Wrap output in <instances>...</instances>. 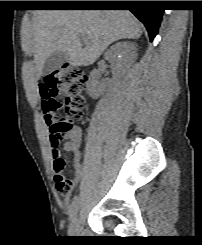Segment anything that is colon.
Returning a JSON list of instances; mask_svg holds the SVG:
<instances>
[{
    "label": "colon",
    "mask_w": 202,
    "mask_h": 245,
    "mask_svg": "<svg viewBox=\"0 0 202 245\" xmlns=\"http://www.w3.org/2000/svg\"><path fill=\"white\" fill-rule=\"evenodd\" d=\"M87 82L88 76L78 67L64 66L48 72L44 77L43 84L59 97V102L55 105L42 101L47 133L53 148L60 147L63 133L72 128L73 119L82 115L86 106ZM58 106L65 110V115L61 118L55 114Z\"/></svg>",
    "instance_id": "colon-1"
}]
</instances>
